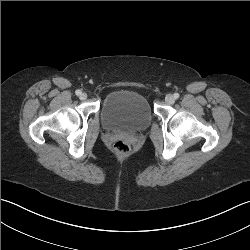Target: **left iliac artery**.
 <instances>
[{
	"label": "left iliac artery",
	"instance_id": "left-iliac-artery-1",
	"mask_svg": "<svg viewBox=\"0 0 250 250\" xmlns=\"http://www.w3.org/2000/svg\"><path fill=\"white\" fill-rule=\"evenodd\" d=\"M174 98L178 99L179 98V94L178 93H174Z\"/></svg>",
	"mask_w": 250,
	"mask_h": 250
}]
</instances>
